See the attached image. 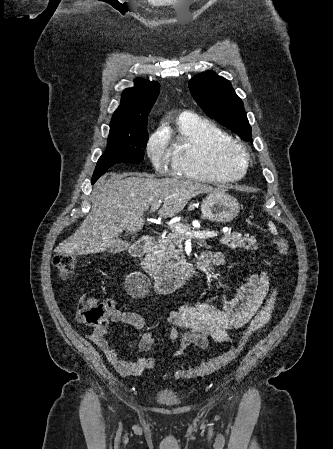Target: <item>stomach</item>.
Here are the masks:
<instances>
[{
	"label": "stomach",
	"instance_id": "stomach-1",
	"mask_svg": "<svg viewBox=\"0 0 333 449\" xmlns=\"http://www.w3.org/2000/svg\"><path fill=\"white\" fill-rule=\"evenodd\" d=\"M239 210V202L221 190L210 193L201 204L203 217L217 223L232 221Z\"/></svg>",
	"mask_w": 333,
	"mask_h": 449
}]
</instances>
